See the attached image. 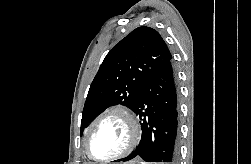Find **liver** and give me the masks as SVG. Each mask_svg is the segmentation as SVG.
Returning <instances> with one entry per match:
<instances>
[{
  "instance_id": "liver-1",
  "label": "liver",
  "mask_w": 251,
  "mask_h": 164,
  "mask_svg": "<svg viewBox=\"0 0 251 164\" xmlns=\"http://www.w3.org/2000/svg\"><path fill=\"white\" fill-rule=\"evenodd\" d=\"M131 163H134V161L126 162L124 164H131Z\"/></svg>"
}]
</instances>
